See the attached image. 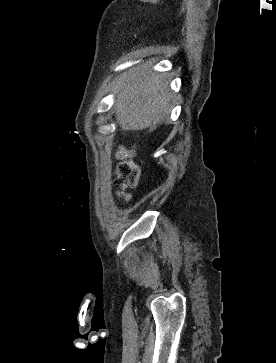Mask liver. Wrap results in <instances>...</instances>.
<instances>
[{
  "label": "liver",
  "instance_id": "1",
  "mask_svg": "<svg viewBox=\"0 0 276 363\" xmlns=\"http://www.w3.org/2000/svg\"><path fill=\"white\" fill-rule=\"evenodd\" d=\"M115 112L122 130H143L167 118L173 94L162 74L149 67L124 74L115 87Z\"/></svg>",
  "mask_w": 276,
  "mask_h": 363
}]
</instances>
